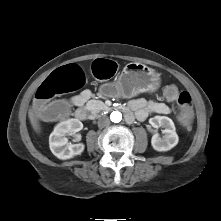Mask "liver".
<instances>
[{
    "instance_id": "1",
    "label": "liver",
    "mask_w": 221,
    "mask_h": 221,
    "mask_svg": "<svg viewBox=\"0 0 221 221\" xmlns=\"http://www.w3.org/2000/svg\"><path fill=\"white\" fill-rule=\"evenodd\" d=\"M28 117L30 120V123L35 130L36 133H40L41 127L39 123V111L35 106H32V108L29 109L28 111Z\"/></svg>"
}]
</instances>
